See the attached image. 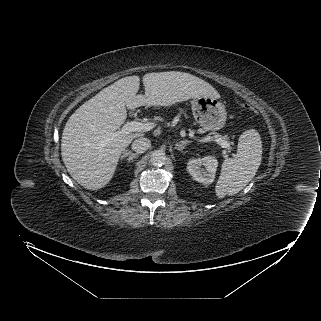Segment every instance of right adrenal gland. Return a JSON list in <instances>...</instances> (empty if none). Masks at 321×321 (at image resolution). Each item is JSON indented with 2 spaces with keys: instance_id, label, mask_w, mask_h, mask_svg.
<instances>
[{
  "instance_id": "obj_1",
  "label": "right adrenal gland",
  "mask_w": 321,
  "mask_h": 321,
  "mask_svg": "<svg viewBox=\"0 0 321 321\" xmlns=\"http://www.w3.org/2000/svg\"><path fill=\"white\" fill-rule=\"evenodd\" d=\"M139 154H135L131 151L124 150L123 155H121V159L128 157V162H132L133 159L137 158Z\"/></svg>"
}]
</instances>
